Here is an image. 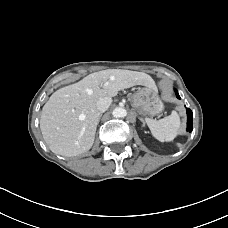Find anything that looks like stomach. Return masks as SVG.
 <instances>
[{
    "label": "stomach",
    "mask_w": 228,
    "mask_h": 228,
    "mask_svg": "<svg viewBox=\"0 0 228 228\" xmlns=\"http://www.w3.org/2000/svg\"><path fill=\"white\" fill-rule=\"evenodd\" d=\"M130 102L139 113L147 116L158 115L164 108L157 89L150 87L139 88L136 93L130 96Z\"/></svg>",
    "instance_id": "1"
}]
</instances>
